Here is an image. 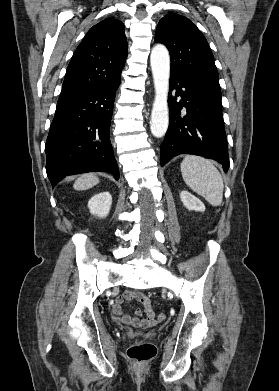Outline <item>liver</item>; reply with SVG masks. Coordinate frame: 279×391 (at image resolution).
I'll use <instances>...</instances> for the list:
<instances>
[{
  "label": "liver",
  "instance_id": "6515ba94",
  "mask_svg": "<svg viewBox=\"0 0 279 391\" xmlns=\"http://www.w3.org/2000/svg\"><path fill=\"white\" fill-rule=\"evenodd\" d=\"M99 183V178L94 174H83L75 181L73 187L75 190H86Z\"/></svg>",
  "mask_w": 279,
  "mask_h": 391
}]
</instances>
